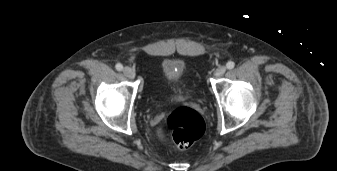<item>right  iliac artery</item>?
Returning <instances> with one entry per match:
<instances>
[{
  "instance_id": "82829eb1",
  "label": "right iliac artery",
  "mask_w": 337,
  "mask_h": 171,
  "mask_svg": "<svg viewBox=\"0 0 337 171\" xmlns=\"http://www.w3.org/2000/svg\"><path fill=\"white\" fill-rule=\"evenodd\" d=\"M116 69L118 70V71H122L123 70V66H122V64H120V63H118V64H116Z\"/></svg>"
}]
</instances>
